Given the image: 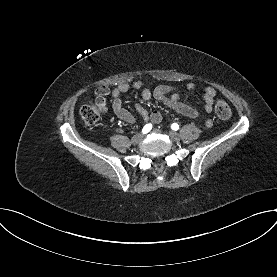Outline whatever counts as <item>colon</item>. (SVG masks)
Masks as SVG:
<instances>
[{
	"label": "colon",
	"mask_w": 277,
	"mask_h": 277,
	"mask_svg": "<svg viewBox=\"0 0 277 277\" xmlns=\"http://www.w3.org/2000/svg\"><path fill=\"white\" fill-rule=\"evenodd\" d=\"M107 110L105 101L95 98L85 104L80 111L83 123L87 126L96 124ZM215 113L220 119H228L231 116L229 104L224 100H218L215 105Z\"/></svg>",
	"instance_id": "obj_1"
}]
</instances>
